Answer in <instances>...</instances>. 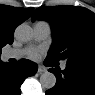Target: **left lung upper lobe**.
Listing matches in <instances>:
<instances>
[{"label": "left lung upper lobe", "instance_id": "obj_1", "mask_svg": "<svg viewBox=\"0 0 95 95\" xmlns=\"http://www.w3.org/2000/svg\"><path fill=\"white\" fill-rule=\"evenodd\" d=\"M50 23L53 44L50 61L66 59L67 63L95 67V14L83 7L57 6L37 8L32 21Z\"/></svg>", "mask_w": 95, "mask_h": 95}]
</instances>
